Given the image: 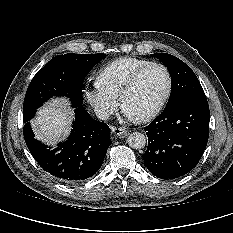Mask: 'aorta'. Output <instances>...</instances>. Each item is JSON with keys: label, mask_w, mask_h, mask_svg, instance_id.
Instances as JSON below:
<instances>
[{"label": "aorta", "mask_w": 233, "mask_h": 233, "mask_svg": "<svg viewBox=\"0 0 233 233\" xmlns=\"http://www.w3.org/2000/svg\"><path fill=\"white\" fill-rule=\"evenodd\" d=\"M147 138L143 133L133 132L127 138L129 147L133 149H142L145 147Z\"/></svg>", "instance_id": "762f6f07"}]
</instances>
